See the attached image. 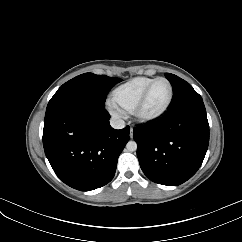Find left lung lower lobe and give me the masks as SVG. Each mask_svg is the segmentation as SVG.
Here are the masks:
<instances>
[{
    "mask_svg": "<svg viewBox=\"0 0 242 242\" xmlns=\"http://www.w3.org/2000/svg\"><path fill=\"white\" fill-rule=\"evenodd\" d=\"M137 157L153 182L176 186L201 166L209 144V124L202 100L171 108L158 121L133 130Z\"/></svg>",
    "mask_w": 242,
    "mask_h": 242,
    "instance_id": "0a47b994",
    "label": "left lung lower lobe"
}]
</instances>
